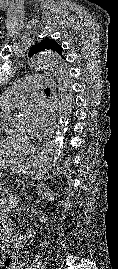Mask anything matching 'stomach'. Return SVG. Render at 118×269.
<instances>
[{
    "label": "stomach",
    "mask_w": 118,
    "mask_h": 269,
    "mask_svg": "<svg viewBox=\"0 0 118 269\" xmlns=\"http://www.w3.org/2000/svg\"><path fill=\"white\" fill-rule=\"evenodd\" d=\"M28 168H29V164H25V163L13 165L11 167V172L14 174H24L27 172Z\"/></svg>",
    "instance_id": "1"
}]
</instances>
